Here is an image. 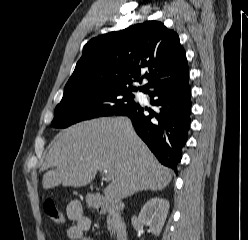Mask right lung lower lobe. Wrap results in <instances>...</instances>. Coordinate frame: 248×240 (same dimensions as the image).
<instances>
[{"mask_svg":"<svg viewBox=\"0 0 248 240\" xmlns=\"http://www.w3.org/2000/svg\"><path fill=\"white\" fill-rule=\"evenodd\" d=\"M144 93L157 107L156 112L137 103L115 115L128 116L137 134L157 159L177 172L191 121L189 70L153 84Z\"/></svg>","mask_w":248,"mask_h":240,"instance_id":"right-lung-lower-lobe-1","label":"right lung lower lobe"}]
</instances>
